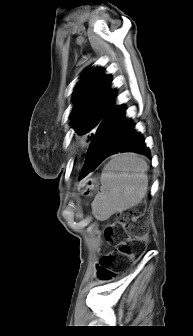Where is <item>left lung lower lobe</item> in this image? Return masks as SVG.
<instances>
[{"instance_id":"1","label":"left lung lower lobe","mask_w":193,"mask_h":336,"mask_svg":"<svg viewBox=\"0 0 193 336\" xmlns=\"http://www.w3.org/2000/svg\"><path fill=\"white\" fill-rule=\"evenodd\" d=\"M137 152L150 157L140 133L125 117L123 105L114 106L101 120L91 140L79 179L94 170L105 158L118 152Z\"/></svg>"}]
</instances>
